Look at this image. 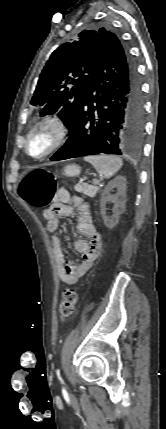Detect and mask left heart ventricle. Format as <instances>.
<instances>
[{
    "instance_id": "b2bd125f",
    "label": "left heart ventricle",
    "mask_w": 166,
    "mask_h": 429,
    "mask_svg": "<svg viewBox=\"0 0 166 429\" xmlns=\"http://www.w3.org/2000/svg\"><path fill=\"white\" fill-rule=\"evenodd\" d=\"M51 143V132L49 130H40L30 138L28 148L31 154L40 155L49 148Z\"/></svg>"
}]
</instances>
